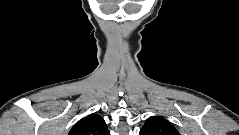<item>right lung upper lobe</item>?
Returning a JSON list of instances; mask_svg holds the SVG:
<instances>
[{
	"label": "right lung upper lobe",
	"mask_w": 239,
	"mask_h": 135,
	"mask_svg": "<svg viewBox=\"0 0 239 135\" xmlns=\"http://www.w3.org/2000/svg\"><path fill=\"white\" fill-rule=\"evenodd\" d=\"M69 135H110V132L101 116L91 114L76 123Z\"/></svg>",
	"instance_id": "cb5924a9"
}]
</instances>
